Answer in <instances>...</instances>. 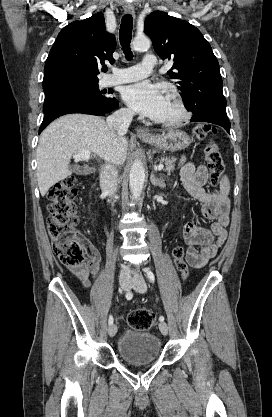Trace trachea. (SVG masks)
<instances>
[{"mask_svg": "<svg viewBox=\"0 0 272 417\" xmlns=\"http://www.w3.org/2000/svg\"><path fill=\"white\" fill-rule=\"evenodd\" d=\"M132 27H133V18L130 14H126L122 17L120 25V43L124 50L126 59H132L133 55L130 48V43L132 39ZM107 67L103 68V71H107Z\"/></svg>", "mask_w": 272, "mask_h": 417, "instance_id": "3493384b", "label": "trachea"}]
</instances>
